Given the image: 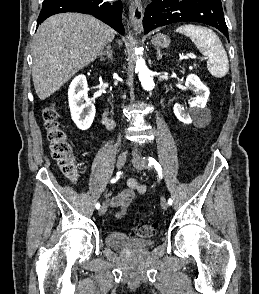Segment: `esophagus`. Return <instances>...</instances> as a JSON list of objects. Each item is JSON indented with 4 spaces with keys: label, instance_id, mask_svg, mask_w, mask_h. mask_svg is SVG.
I'll use <instances>...</instances> for the list:
<instances>
[{
    "label": "esophagus",
    "instance_id": "esophagus-1",
    "mask_svg": "<svg viewBox=\"0 0 259 294\" xmlns=\"http://www.w3.org/2000/svg\"><path fill=\"white\" fill-rule=\"evenodd\" d=\"M130 11V20L134 30L137 33H141L143 31V7L141 0H132L131 5L129 7Z\"/></svg>",
    "mask_w": 259,
    "mask_h": 294
}]
</instances>
